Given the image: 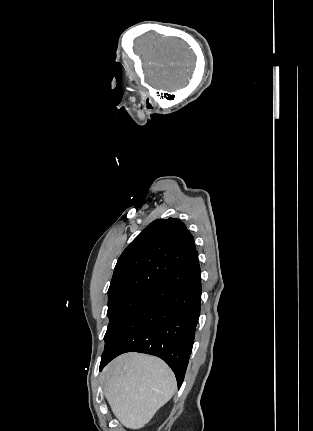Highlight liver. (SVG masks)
Here are the masks:
<instances>
[{"instance_id":"6515ba94","label":"liver","mask_w":313,"mask_h":431,"mask_svg":"<svg viewBox=\"0 0 313 431\" xmlns=\"http://www.w3.org/2000/svg\"><path fill=\"white\" fill-rule=\"evenodd\" d=\"M104 393L126 428H142L175 393L176 379L160 358L126 353L104 369Z\"/></svg>"}]
</instances>
